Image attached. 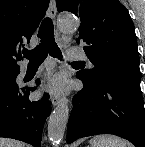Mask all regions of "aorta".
I'll use <instances>...</instances> for the list:
<instances>
[{"label":"aorta","instance_id":"1","mask_svg":"<svg viewBox=\"0 0 145 147\" xmlns=\"http://www.w3.org/2000/svg\"><path fill=\"white\" fill-rule=\"evenodd\" d=\"M58 27L62 32H71L78 27V22L70 14L61 15ZM69 119V107L66 103L57 106L48 121V137L53 146L57 147L64 137Z\"/></svg>","mask_w":145,"mask_h":147}]
</instances>
